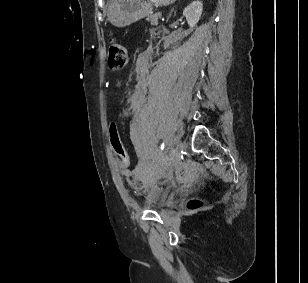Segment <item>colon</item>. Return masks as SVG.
Segmentation results:
<instances>
[{"mask_svg": "<svg viewBox=\"0 0 308 283\" xmlns=\"http://www.w3.org/2000/svg\"><path fill=\"white\" fill-rule=\"evenodd\" d=\"M108 63L111 68L119 70L123 69L128 63V55L124 46L109 33L108 41ZM109 136L111 146L119 157L120 161L124 166L129 163V156L125 144L123 143L117 124L112 122L109 125ZM193 205H197V202H193Z\"/></svg>", "mask_w": 308, "mask_h": 283, "instance_id": "colon-1", "label": "colon"}]
</instances>
